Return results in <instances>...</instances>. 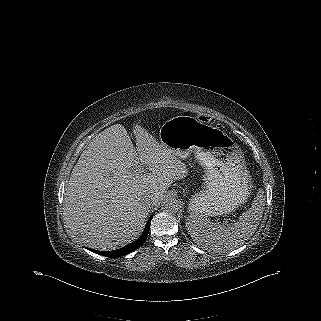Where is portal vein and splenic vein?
Returning a JSON list of instances; mask_svg holds the SVG:
<instances>
[{"label": "portal vein and splenic vein", "instance_id": "18ae733b", "mask_svg": "<svg viewBox=\"0 0 321 321\" xmlns=\"http://www.w3.org/2000/svg\"><path fill=\"white\" fill-rule=\"evenodd\" d=\"M136 171H138L139 173L144 172V171H145L144 166L139 165V166L137 167Z\"/></svg>", "mask_w": 321, "mask_h": 321}]
</instances>
